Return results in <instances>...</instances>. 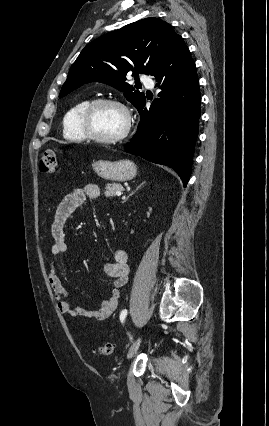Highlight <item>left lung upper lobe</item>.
<instances>
[{"label": "left lung upper lobe", "instance_id": "left-lung-upper-lobe-1", "mask_svg": "<svg viewBox=\"0 0 269 426\" xmlns=\"http://www.w3.org/2000/svg\"><path fill=\"white\" fill-rule=\"evenodd\" d=\"M178 36L167 22L145 18L95 39L72 64L59 97L98 81L123 91L137 108L145 96L126 82V75L150 74Z\"/></svg>", "mask_w": 269, "mask_h": 426}]
</instances>
